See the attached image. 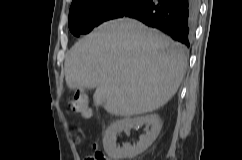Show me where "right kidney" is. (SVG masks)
I'll list each match as a JSON object with an SVG mask.
<instances>
[{
    "label": "right kidney",
    "instance_id": "1",
    "mask_svg": "<svg viewBox=\"0 0 242 160\" xmlns=\"http://www.w3.org/2000/svg\"><path fill=\"white\" fill-rule=\"evenodd\" d=\"M147 124L151 127L142 135L136 145L125 143L121 148L116 146V135L124 129L140 127ZM162 123L158 115L150 114L136 118H124L111 124L103 137V147L107 155L114 160L132 159L144 152L158 137Z\"/></svg>",
    "mask_w": 242,
    "mask_h": 160
}]
</instances>
